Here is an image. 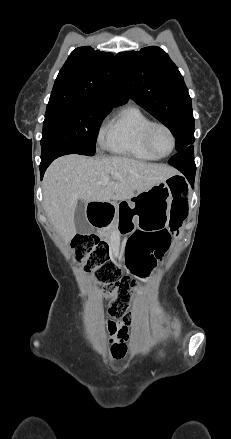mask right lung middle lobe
I'll use <instances>...</instances> for the list:
<instances>
[{"instance_id": "right-lung-middle-lobe-1", "label": "right lung middle lobe", "mask_w": 231, "mask_h": 439, "mask_svg": "<svg viewBox=\"0 0 231 439\" xmlns=\"http://www.w3.org/2000/svg\"><path fill=\"white\" fill-rule=\"evenodd\" d=\"M112 108L92 103L47 106L41 160L72 153L93 156L99 127Z\"/></svg>"}]
</instances>
